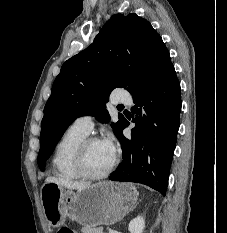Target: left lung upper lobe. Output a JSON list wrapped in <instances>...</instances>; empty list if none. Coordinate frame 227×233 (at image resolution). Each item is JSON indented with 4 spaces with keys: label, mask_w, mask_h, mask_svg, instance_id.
Returning <instances> with one entry per match:
<instances>
[{
    "label": "left lung upper lobe",
    "mask_w": 227,
    "mask_h": 233,
    "mask_svg": "<svg viewBox=\"0 0 227 233\" xmlns=\"http://www.w3.org/2000/svg\"><path fill=\"white\" fill-rule=\"evenodd\" d=\"M171 65L162 38L147 20L134 13L112 16L88 48L62 65L53 83L41 123L39 168L45 170L46 160L76 118L91 114L100 122L110 120L104 103L114 88L142 93ZM124 122L120 115L111 123L116 136Z\"/></svg>",
    "instance_id": "left-lung-upper-lobe-1"
}]
</instances>
